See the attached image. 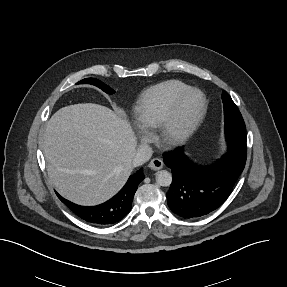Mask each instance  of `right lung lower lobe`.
<instances>
[{"label": "right lung lower lobe", "instance_id": "98d812e1", "mask_svg": "<svg viewBox=\"0 0 287 287\" xmlns=\"http://www.w3.org/2000/svg\"><path fill=\"white\" fill-rule=\"evenodd\" d=\"M144 178L141 168L130 176L125 186L113 198L97 206H80L60 195L58 197L81 219L98 225H110L121 221L130 212L134 194Z\"/></svg>", "mask_w": 287, "mask_h": 287}]
</instances>
